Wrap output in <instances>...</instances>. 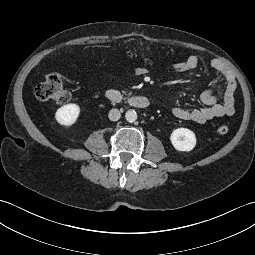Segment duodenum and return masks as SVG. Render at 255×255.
I'll use <instances>...</instances> for the list:
<instances>
[{"label":"duodenum","instance_id":"duodenum-1","mask_svg":"<svg viewBox=\"0 0 255 255\" xmlns=\"http://www.w3.org/2000/svg\"><path fill=\"white\" fill-rule=\"evenodd\" d=\"M106 98L112 103H126L132 107L146 109L149 107V100L140 95L125 96L116 89H108L105 92Z\"/></svg>","mask_w":255,"mask_h":255}]
</instances>
